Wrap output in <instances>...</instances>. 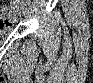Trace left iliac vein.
Listing matches in <instances>:
<instances>
[{
	"mask_svg": "<svg viewBox=\"0 0 93 83\" xmlns=\"http://www.w3.org/2000/svg\"><path fill=\"white\" fill-rule=\"evenodd\" d=\"M23 14H24V16H27L29 14V9L23 10Z\"/></svg>",
	"mask_w": 93,
	"mask_h": 83,
	"instance_id": "1",
	"label": "left iliac vein"
}]
</instances>
